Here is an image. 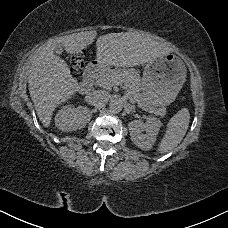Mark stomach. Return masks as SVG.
I'll return each mask as SVG.
<instances>
[{"mask_svg": "<svg viewBox=\"0 0 228 228\" xmlns=\"http://www.w3.org/2000/svg\"><path fill=\"white\" fill-rule=\"evenodd\" d=\"M144 64L140 101L148 109L169 106L175 101L186 79L183 61L173 53Z\"/></svg>", "mask_w": 228, "mask_h": 228, "instance_id": "1", "label": "stomach"}]
</instances>
